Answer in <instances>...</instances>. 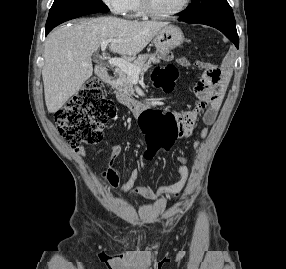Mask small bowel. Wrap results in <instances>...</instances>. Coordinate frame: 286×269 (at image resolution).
Here are the masks:
<instances>
[{"instance_id": "1", "label": "small bowel", "mask_w": 286, "mask_h": 269, "mask_svg": "<svg viewBox=\"0 0 286 269\" xmlns=\"http://www.w3.org/2000/svg\"><path fill=\"white\" fill-rule=\"evenodd\" d=\"M178 63L181 66H191L192 62L182 57L178 59ZM198 65V62L195 63V66ZM213 65V64H212ZM220 88H217V91H206L205 88H195L196 95L200 98V102L190 110H186L181 113H173L174 121H177L178 130L181 132V138L183 136H188L192 133L195 128V124L198 118V115L201 112H204L203 123L205 125L199 132L200 138H206L209 134V127L212 126L218 116V112L221 108L225 89L227 83L229 82L231 70L228 66L225 65V70H220ZM201 79V77H200ZM200 82V81H199ZM126 88H114V93H126ZM119 99H131V94H119ZM148 150V149H147ZM81 153L84 155L85 152L82 150ZM121 153V148L116 146L111 156L106 164L105 169L102 172V179L107 183L111 188L116 189L122 194H127L131 196H140L145 199H160L167 196H175L179 194L186 186L187 180L189 178V169L186 166V163L189 160L187 154L179 156L178 161L180 166L177 169L179 174V179L170 184L164 185L157 188L156 191L152 190L147 185H136V181L139 176V170L134 168L130 171L128 179L124 183H120L119 180V171L115 166V160ZM148 159L147 155H143L140 158L141 164H144Z\"/></svg>"}]
</instances>
